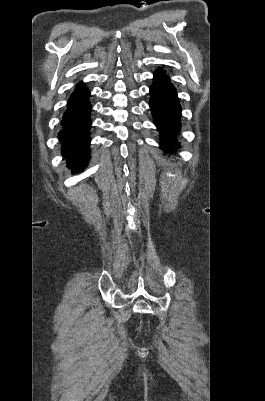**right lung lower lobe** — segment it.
<instances>
[{
    "label": "right lung lower lobe",
    "mask_w": 265,
    "mask_h": 401,
    "mask_svg": "<svg viewBox=\"0 0 265 401\" xmlns=\"http://www.w3.org/2000/svg\"><path fill=\"white\" fill-rule=\"evenodd\" d=\"M89 91L79 84L71 94L61 120L59 139L63 156L74 173L82 171L89 161V130L91 125Z\"/></svg>",
    "instance_id": "obj_1"
}]
</instances>
